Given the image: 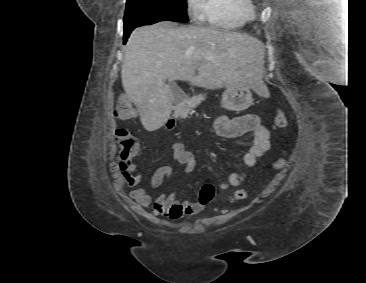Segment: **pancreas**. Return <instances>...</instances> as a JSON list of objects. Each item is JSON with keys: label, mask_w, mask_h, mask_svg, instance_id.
Returning <instances> with one entry per match:
<instances>
[{"label": "pancreas", "mask_w": 366, "mask_h": 283, "mask_svg": "<svg viewBox=\"0 0 366 283\" xmlns=\"http://www.w3.org/2000/svg\"><path fill=\"white\" fill-rule=\"evenodd\" d=\"M203 100L202 95L194 96L191 99L184 101L176 109V115L181 118H186L191 108H193L197 103Z\"/></svg>", "instance_id": "pancreas-1"}]
</instances>
